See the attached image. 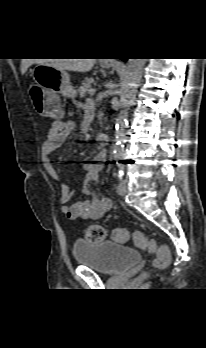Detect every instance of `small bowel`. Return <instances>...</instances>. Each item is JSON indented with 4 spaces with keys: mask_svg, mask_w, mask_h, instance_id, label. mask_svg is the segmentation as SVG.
<instances>
[{
    "mask_svg": "<svg viewBox=\"0 0 206 348\" xmlns=\"http://www.w3.org/2000/svg\"><path fill=\"white\" fill-rule=\"evenodd\" d=\"M74 130L72 120L56 121L52 124L41 145V160L45 170L53 179H58V173L54 169L51 161V152L67 141ZM86 176L83 181L81 191L85 195L90 194V184L98 182L100 179L101 166L94 163L83 164ZM72 196V191L67 185L60 188V202L62 203L63 214L72 220H95L108 213L112 204L107 198L93 196L88 200L78 202L74 205H67Z\"/></svg>",
    "mask_w": 206,
    "mask_h": 348,
    "instance_id": "obj_1",
    "label": "small bowel"
}]
</instances>
